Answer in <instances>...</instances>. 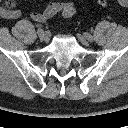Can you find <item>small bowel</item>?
I'll list each match as a JSON object with an SVG mask.
<instances>
[{
    "label": "small bowel",
    "mask_w": 128,
    "mask_h": 128,
    "mask_svg": "<svg viewBox=\"0 0 128 128\" xmlns=\"http://www.w3.org/2000/svg\"><path fill=\"white\" fill-rule=\"evenodd\" d=\"M67 4H72L71 2H50L43 11L32 12L31 19L38 23H43L48 19L52 18L56 14L62 12L63 8ZM21 15L19 10L8 9L0 5V16L6 19H17Z\"/></svg>",
    "instance_id": "obj_1"
}]
</instances>
